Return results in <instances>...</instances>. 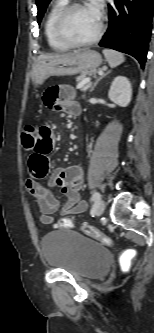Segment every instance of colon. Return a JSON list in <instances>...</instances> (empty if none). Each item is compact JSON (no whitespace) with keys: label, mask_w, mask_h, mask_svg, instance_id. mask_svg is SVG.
Listing matches in <instances>:
<instances>
[{"label":"colon","mask_w":154,"mask_h":333,"mask_svg":"<svg viewBox=\"0 0 154 333\" xmlns=\"http://www.w3.org/2000/svg\"><path fill=\"white\" fill-rule=\"evenodd\" d=\"M35 131H36V125L34 124H29L23 129L21 133V143L25 151H31L33 149L35 143ZM57 226L59 228L68 229L72 228L74 224L71 219L64 217L58 221ZM82 231L88 236L98 240L104 245L109 246L113 244V240L109 236L105 235L103 232H101L99 229H97L94 226H91L89 224H84L82 226ZM134 256H135V251L132 249L128 250L125 253L123 257V267L125 269L129 268L131 260L134 258Z\"/></svg>","instance_id":"1"}]
</instances>
